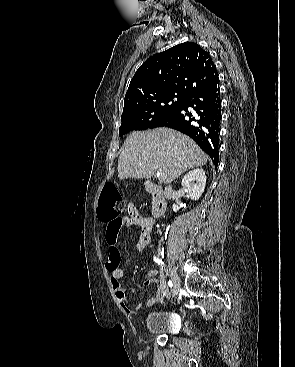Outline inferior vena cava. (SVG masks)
<instances>
[{
    "label": "inferior vena cava",
    "mask_w": 295,
    "mask_h": 367,
    "mask_svg": "<svg viewBox=\"0 0 295 367\" xmlns=\"http://www.w3.org/2000/svg\"><path fill=\"white\" fill-rule=\"evenodd\" d=\"M164 194H165V197L166 198H170L171 197V195H172V187L170 185L165 188Z\"/></svg>",
    "instance_id": "1"
}]
</instances>
